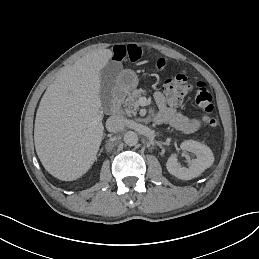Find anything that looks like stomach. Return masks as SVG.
<instances>
[{
    "mask_svg": "<svg viewBox=\"0 0 259 259\" xmlns=\"http://www.w3.org/2000/svg\"><path fill=\"white\" fill-rule=\"evenodd\" d=\"M138 82V77L132 70L121 71L115 80L116 88L126 93L133 91L137 87Z\"/></svg>",
    "mask_w": 259,
    "mask_h": 259,
    "instance_id": "1",
    "label": "stomach"
}]
</instances>
